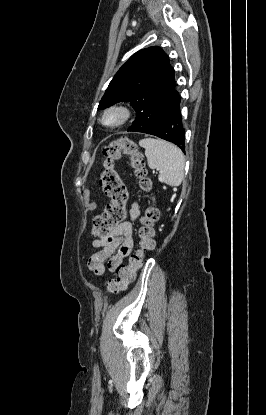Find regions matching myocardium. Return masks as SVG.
Segmentation results:
<instances>
[{"instance_id":"obj_1","label":"myocardium","mask_w":266,"mask_h":415,"mask_svg":"<svg viewBox=\"0 0 266 415\" xmlns=\"http://www.w3.org/2000/svg\"><path fill=\"white\" fill-rule=\"evenodd\" d=\"M130 116L131 112L126 106L115 104L104 110L101 116V122L107 127L116 128L125 124ZM109 117H114V120L108 121Z\"/></svg>"}]
</instances>
